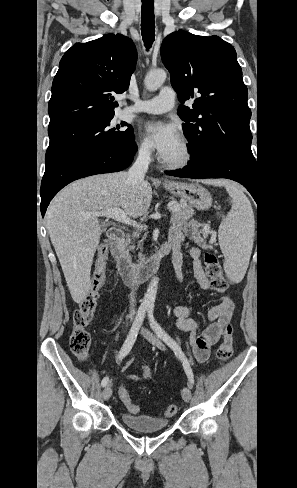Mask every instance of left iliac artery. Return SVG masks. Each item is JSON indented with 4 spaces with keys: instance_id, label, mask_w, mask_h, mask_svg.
<instances>
[{
    "instance_id": "obj_1",
    "label": "left iliac artery",
    "mask_w": 297,
    "mask_h": 488,
    "mask_svg": "<svg viewBox=\"0 0 297 488\" xmlns=\"http://www.w3.org/2000/svg\"><path fill=\"white\" fill-rule=\"evenodd\" d=\"M148 318H149V322H150V325H151V328L153 329V331L157 334V336L160 339H162L174 351L175 355L181 360L183 367H184V370L187 374V377H188L190 383L194 384L193 372H192V369L190 367V364L188 362L187 357L183 353L179 344L173 338H171L161 328V326L157 323V321L155 320V318L153 316V308L152 307L148 308Z\"/></svg>"
}]
</instances>
